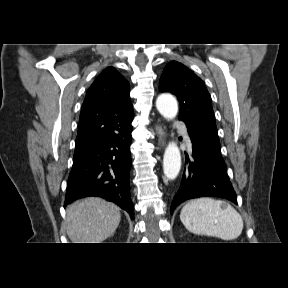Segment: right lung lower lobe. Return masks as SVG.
Listing matches in <instances>:
<instances>
[{
	"label": "right lung lower lobe",
	"mask_w": 288,
	"mask_h": 288,
	"mask_svg": "<svg viewBox=\"0 0 288 288\" xmlns=\"http://www.w3.org/2000/svg\"><path fill=\"white\" fill-rule=\"evenodd\" d=\"M131 132L132 126L74 156L64 207L82 197L98 196L119 205L133 219L134 205L129 185Z\"/></svg>",
	"instance_id": "right-lung-lower-lobe-1"
}]
</instances>
